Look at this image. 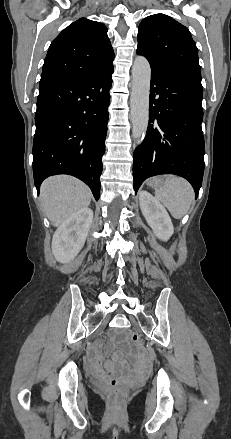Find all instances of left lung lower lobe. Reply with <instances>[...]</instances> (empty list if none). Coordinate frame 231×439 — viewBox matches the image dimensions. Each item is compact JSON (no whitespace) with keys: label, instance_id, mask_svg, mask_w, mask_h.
<instances>
[{"label":"left lung lower lobe","instance_id":"left-lung-lower-lobe-1","mask_svg":"<svg viewBox=\"0 0 231 439\" xmlns=\"http://www.w3.org/2000/svg\"><path fill=\"white\" fill-rule=\"evenodd\" d=\"M149 125L133 155L134 190L159 174L187 179L196 197L204 173L201 77L151 70Z\"/></svg>","mask_w":231,"mask_h":439}]
</instances>
